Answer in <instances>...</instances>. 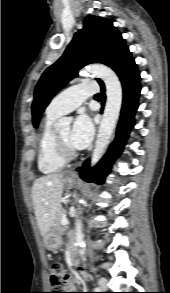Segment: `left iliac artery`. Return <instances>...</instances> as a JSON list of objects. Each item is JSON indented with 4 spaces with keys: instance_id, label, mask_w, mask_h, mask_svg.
<instances>
[{
    "instance_id": "44dca946",
    "label": "left iliac artery",
    "mask_w": 170,
    "mask_h": 293,
    "mask_svg": "<svg viewBox=\"0 0 170 293\" xmlns=\"http://www.w3.org/2000/svg\"><path fill=\"white\" fill-rule=\"evenodd\" d=\"M95 290H100V288L96 287V289H95Z\"/></svg>"
}]
</instances>
